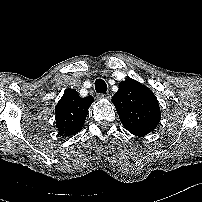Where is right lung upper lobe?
Here are the masks:
<instances>
[{
	"mask_svg": "<svg viewBox=\"0 0 202 202\" xmlns=\"http://www.w3.org/2000/svg\"><path fill=\"white\" fill-rule=\"evenodd\" d=\"M94 102L89 95L86 98L79 97L74 89H67L55 107L56 126L60 134L71 136L78 133L88 115V108Z\"/></svg>",
	"mask_w": 202,
	"mask_h": 202,
	"instance_id": "right-lung-upper-lobe-1",
	"label": "right lung upper lobe"
}]
</instances>
